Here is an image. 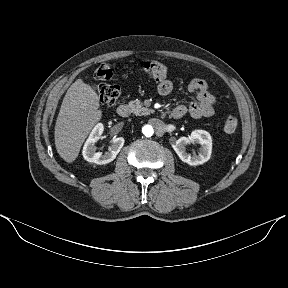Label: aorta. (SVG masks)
Returning a JSON list of instances; mask_svg holds the SVG:
<instances>
[{"label":"aorta","mask_w":288,"mask_h":288,"mask_svg":"<svg viewBox=\"0 0 288 288\" xmlns=\"http://www.w3.org/2000/svg\"><path fill=\"white\" fill-rule=\"evenodd\" d=\"M142 132L145 136L147 137H150L153 135L154 133V129L151 125H145L143 128H142Z\"/></svg>","instance_id":"1"}]
</instances>
